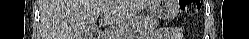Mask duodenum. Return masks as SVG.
Listing matches in <instances>:
<instances>
[{
  "instance_id": "410a0bca",
  "label": "duodenum",
  "mask_w": 249,
  "mask_h": 39,
  "mask_svg": "<svg viewBox=\"0 0 249 39\" xmlns=\"http://www.w3.org/2000/svg\"><path fill=\"white\" fill-rule=\"evenodd\" d=\"M100 38H101V39H107L108 37H107L106 35L103 34Z\"/></svg>"
}]
</instances>
